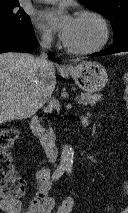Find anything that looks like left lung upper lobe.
Returning <instances> with one entry per match:
<instances>
[{
  "label": "left lung upper lobe",
  "mask_w": 128,
  "mask_h": 213,
  "mask_svg": "<svg viewBox=\"0 0 128 213\" xmlns=\"http://www.w3.org/2000/svg\"><path fill=\"white\" fill-rule=\"evenodd\" d=\"M87 7L104 15L114 30V41L128 34V0H81Z\"/></svg>",
  "instance_id": "obj_1"
}]
</instances>
